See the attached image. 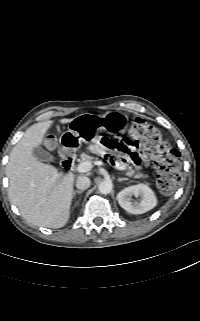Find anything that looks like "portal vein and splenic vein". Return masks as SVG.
<instances>
[{
    "mask_svg": "<svg viewBox=\"0 0 200 321\" xmlns=\"http://www.w3.org/2000/svg\"><path fill=\"white\" fill-rule=\"evenodd\" d=\"M95 165H103V162L102 161H96L94 163ZM93 165L92 163L90 162H82L80 164H78L77 166V171L80 172V173H83V172H88L92 169Z\"/></svg>",
    "mask_w": 200,
    "mask_h": 321,
    "instance_id": "18ae733b",
    "label": "portal vein and splenic vein"
}]
</instances>
